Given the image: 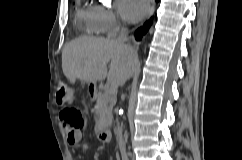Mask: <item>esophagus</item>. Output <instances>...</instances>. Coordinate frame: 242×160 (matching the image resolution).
Segmentation results:
<instances>
[{
    "mask_svg": "<svg viewBox=\"0 0 242 160\" xmlns=\"http://www.w3.org/2000/svg\"><path fill=\"white\" fill-rule=\"evenodd\" d=\"M154 11H155V1L153 0L150 13H149V18L152 17V15L154 14Z\"/></svg>",
    "mask_w": 242,
    "mask_h": 160,
    "instance_id": "34e87169",
    "label": "esophagus"
}]
</instances>
